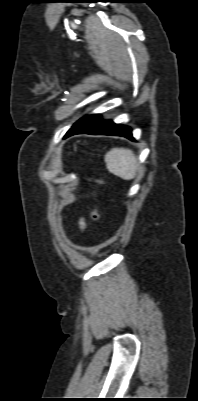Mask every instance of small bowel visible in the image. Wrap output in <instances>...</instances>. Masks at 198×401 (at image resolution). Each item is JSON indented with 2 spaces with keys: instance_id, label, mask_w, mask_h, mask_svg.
<instances>
[{
  "instance_id": "obj_1",
  "label": "small bowel",
  "mask_w": 198,
  "mask_h": 401,
  "mask_svg": "<svg viewBox=\"0 0 198 401\" xmlns=\"http://www.w3.org/2000/svg\"><path fill=\"white\" fill-rule=\"evenodd\" d=\"M79 224H80V227H81V228H84V227H85V222H84V220H80Z\"/></svg>"
}]
</instances>
